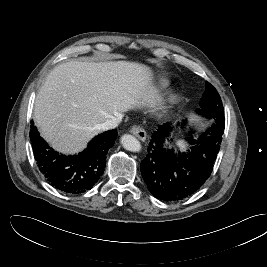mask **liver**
<instances>
[{"mask_svg": "<svg viewBox=\"0 0 267 267\" xmlns=\"http://www.w3.org/2000/svg\"><path fill=\"white\" fill-rule=\"evenodd\" d=\"M152 78L149 67L135 62L60 64L36 96L35 123L54 149L74 154L100 133L99 125L107 119L155 106L160 98Z\"/></svg>", "mask_w": 267, "mask_h": 267, "instance_id": "1", "label": "liver"}]
</instances>
